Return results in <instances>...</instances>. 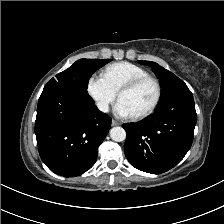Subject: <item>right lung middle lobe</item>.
<instances>
[{"label": "right lung middle lobe", "instance_id": "1", "mask_svg": "<svg viewBox=\"0 0 224 224\" xmlns=\"http://www.w3.org/2000/svg\"><path fill=\"white\" fill-rule=\"evenodd\" d=\"M111 59H80L72 66L52 78L46 85L49 86H65L73 90L84 92L88 95V81L92 74L110 62Z\"/></svg>", "mask_w": 224, "mask_h": 224}]
</instances>
